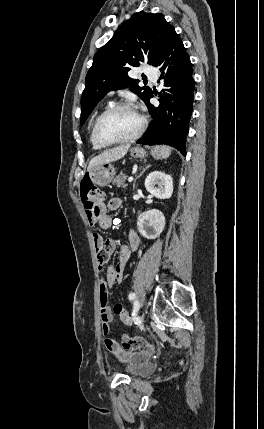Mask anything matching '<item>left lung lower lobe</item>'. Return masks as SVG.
<instances>
[{
	"mask_svg": "<svg viewBox=\"0 0 264 429\" xmlns=\"http://www.w3.org/2000/svg\"><path fill=\"white\" fill-rule=\"evenodd\" d=\"M164 62L161 71L166 70L163 93L160 94V105L155 107L149 100L146 105L153 116V122L147 133L140 138V144H167L185 152L186 136L192 115L195 82L189 56L178 34L172 29L164 43L157 65Z\"/></svg>",
	"mask_w": 264,
	"mask_h": 429,
	"instance_id": "1",
	"label": "left lung lower lobe"
}]
</instances>
